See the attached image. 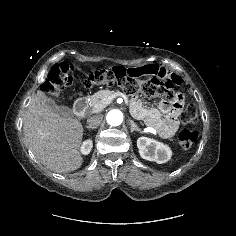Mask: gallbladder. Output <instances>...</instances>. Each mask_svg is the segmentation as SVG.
I'll return each mask as SVG.
<instances>
[{
	"label": "gallbladder",
	"instance_id": "bac80fb5",
	"mask_svg": "<svg viewBox=\"0 0 236 236\" xmlns=\"http://www.w3.org/2000/svg\"><path fill=\"white\" fill-rule=\"evenodd\" d=\"M37 95L43 104H45L47 107L57 112L60 116L65 118L73 117V113L70 108L66 106L57 105L52 98L46 96L45 93H43L42 91H38Z\"/></svg>",
	"mask_w": 236,
	"mask_h": 236
}]
</instances>
